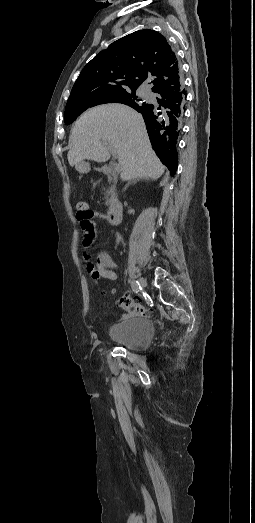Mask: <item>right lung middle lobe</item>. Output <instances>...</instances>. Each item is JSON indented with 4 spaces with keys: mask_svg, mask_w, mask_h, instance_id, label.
I'll list each match as a JSON object with an SVG mask.
<instances>
[{
    "mask_svg": "<svg viewBox=\"0 0 255 523\" xmlns=\"http://www.w3.org/2000/svg\"><path fill=\"white\" fill-rule=\"evenodd\" d=\"M136 100L135 92L125 93L122 95L108 96L88 103L67 104L65 107V124L72 123L82 112L89 107H93L104 103H123L127 104L129 101Z\"/></svg>",
    "mask_w": 255,
    "mask_h": 523,
    "instance_id": "1",
    "label": "right lung middle lobe"
}]
</instances>
